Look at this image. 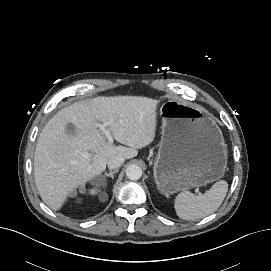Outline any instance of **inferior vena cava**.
<instances>
[{"label":"inferior vena cava","instance_id":"1","mask_svg":"<svg viewBox=\"0 0 271 271\" xmlns=\"http://www.w3.org/2000/svg\"><path fill=\"white\" fill-rule=\"evenodd\" d=\"M124 160L125 159L123 157H120V156L112 157L107 162L108 168L109 169H117V168H119L122 165V163L124 162Z\"/></svg>","mask_w":271,"mask_h":271}]
</instances>
